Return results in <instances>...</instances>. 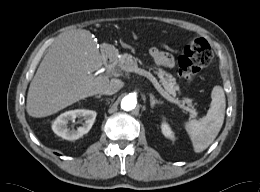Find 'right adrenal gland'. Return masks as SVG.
Here are the masks:
<instances>
[{
  "label": "right adrenal gland",
  "instance_id": "obj_1",
  "mask_svg": "<svg viewBox=\"0 0 260 192\" xmlns=\"http://www.w3.org/2000/svg\"><path fill=\"white\" fill-rule=\"evenodd\" d=\"M96 98H101V94H99V95H97V96H95Z\"/></svg>",
  "mask_w": 260,
  "mask_h": 192
}]
</instances>
